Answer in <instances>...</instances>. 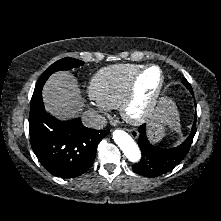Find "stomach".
<instances>
[{
  "label": "stomach",
  "mask_w": 221,
  "mask_h": 221,
  "mask_svg": "<svg viewBox=\"0 0 221 221\" xmlns=\"http://www.w3.org/2000/svg\"><path fill=\"white\" fill-rule=\"evenodd\" d=\"M166 97H163L159 101V105L157 107L156 112L154 113L150 123H149V128H148V137L151 142L153 143H158L162 140V138L166 134L167 130V122L163 118L162 114L159 111V108L162 106V104L165 101H168Z\"/></svg>",
  "instance_id": "0dacf381"
}]
</instances>
